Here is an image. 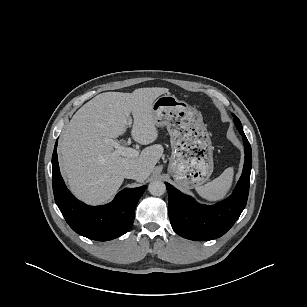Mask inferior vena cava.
Segmentation results:
<instances>
[{
	"label": "inferior vena cava",
	"instance_id": "1",
	"mask_svg": "<svg viewBox=\"0 0 307 307\" xmlns=\"http://www.w3.org/2000/svg\"><path fill=\"white\" fill-rule=\"evenodd\" d=\"M124 178L137 180L140 177V173L133 168H128L123 171Z\"/></svg>",
	"mask_w": 307,
	"mask_h": 307
}]
</instances>
